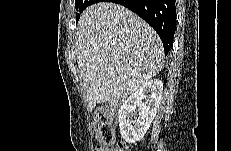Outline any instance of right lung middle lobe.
Segmentation results:
<instances>
[{
  "instance_id": "obj_1",
  "label": "right lung middle lobe",
  "mask_w": 231,
  "mask_h": 151,
  "mask_svg": "<svg viewBox=\"0 0 231 151\" xmlns=\"http://www.w3.org/2000/svg\"><path fill=\"white\" fill-rule=\"evenodd\" d=\"M93 0H76L75 7H76V21L80 18V13H82L86 7L92 5Z\"/></svg>"
}]
</instances>
